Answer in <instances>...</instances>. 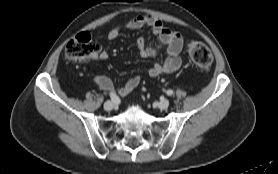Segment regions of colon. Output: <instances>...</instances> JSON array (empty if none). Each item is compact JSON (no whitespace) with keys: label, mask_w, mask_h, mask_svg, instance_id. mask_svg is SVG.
I'll return each mask as SVG.
<instances>
[{"label":"colon","mask_w":278,"mask_h":174,"mask_svg":"<svg viewBox=\"0 0 278 174\" xmlns=\"http://www.w3.org/2000/svg\"><path fill=\"white\" fill-rule=\"evenodd\" d=\"M98 45L87 32H82L73 37L65 48L67 59L78 63L87 62L96 53ZM187 51L193 64L200 70L210 68L213 57L208 47L202 42L190 40L187 43Z\"/></svg>","instance_id":"colon-1"}]
</instances>
